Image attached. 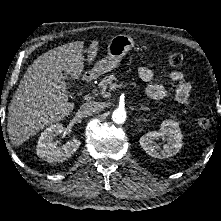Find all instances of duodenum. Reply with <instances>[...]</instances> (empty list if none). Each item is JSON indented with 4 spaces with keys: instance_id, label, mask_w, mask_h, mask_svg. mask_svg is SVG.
Wrapping results in <instances>:
<instances>
[{
    "instance_id": "obj_1",
    "label": "duodenum",
    "mask_w": 221,
    "mask_h": 221,
    "mask_svg": "<svg viewBox=\"0 0 221 221\" xmlns=\"http://www.w3.org/2000/svg\"><path fill=\"white\" fill-rule=\"evenodd\" d=\"M90 80H91V75H90V74H85V75L82 77V81H83L84 83H88Z\"/></svg>"
}]
</instances>
